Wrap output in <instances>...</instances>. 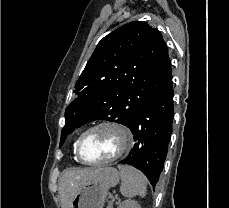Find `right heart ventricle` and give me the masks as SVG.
<instances>
[{
    "instance_id": "obj_1",
    "label": "right heart ventricle",
    "mask_w": 229,
    "mask_h": 208,
    "mask_svg": "<svg viewBox=\"0 0 229 208\" xmlns=\"http://www.w3.org/2000/svg\"><path fill=\"white\" fill-rule=\"evenodd\" d=\"M76 142H77V139L73 142V147H72V153H73V158L74 160L77 162V163H82V161L77 158V153H76Z\"/></svg>"
}]
</instances>
